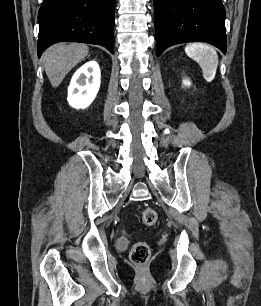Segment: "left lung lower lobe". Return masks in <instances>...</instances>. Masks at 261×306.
Returning a JSON list of instances; mask_svg holds the SVG:
<instances>
[{"mask_svg":"<svg viewBox=\"0 0 261 306\" xmlns=\"http://www.w3.org/2000/svg\"><path fill=\"white\" fill-rule=\"evenodd\" d=\"M157 56L168 47L203 41L227 50L221 0H153Z\"/></svg>","mask_w":261,"mask_h":306,"instance_id":"obj_1","label":"left lung lower lobe"}]
</instances>
